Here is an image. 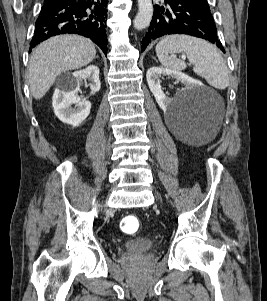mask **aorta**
I'll use <instances>...</instances> for the list:
<instances>
[{
  "label": "aorta",
  "mask_w": 267,
  "mask_h": 301,
  "mask_svg": "<svg viewBox=\"0 0 267 301\" xmlns=\"http://www.w3.org/2000/svg\"><path fill=\"white\" fill-rule=\"evenodd\" d=\"M153 16L152 0H138V13L134 19V28L145 29L151 22Z\"/></svg>",
  "instance_id": "obj_1"
}]
</instances>
